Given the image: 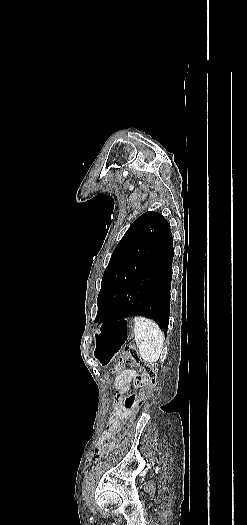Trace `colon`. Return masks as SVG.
<instances>
[{
    "mask_svg": "<svg viewBox=\"0 0 247 525\" xmlns=\"http://www.w3.org/2000/svg\"><path fill=\"white\" fill-rule=\"evenodd\" d=\"M126 365L136 368L139 374L133 379L136 392L127 394L124 398V407L131 416L123 422L120 431L112 436L114 443L119 441L121 436L127 431L132 415L138 412L141 404L149 397L151 389L157 385L158 381L156 364L144 360L132 343L127 344L120 352L117 364L112 370L113 375H120Z\"/></svg>",
    "mask_w": 247,
    "mask_h": 525,
    "instance_id": "5ec220e1",
    "label": "colon"
}]
</instances>
